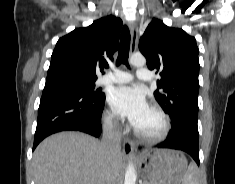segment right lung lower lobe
Masks as SVG:
<instances>
[{
	"mask_svg": "<svg viewBox=\"0 0 235 184\" xmlns=\"http://www.w3.org/2000/svg\"><path fill=\"white\" fill-rule=\"evenodd\" d=\"M104 103L105 97H93L62 81L45 85L33 150L44 138L60 131H81L99 137Z\"/></svg>",
	"mask_w": 235,
	"mask_h": 184,
	"instance_id": "obj_1",
	"label": "right lung lower lobe"
}]
</instances>
